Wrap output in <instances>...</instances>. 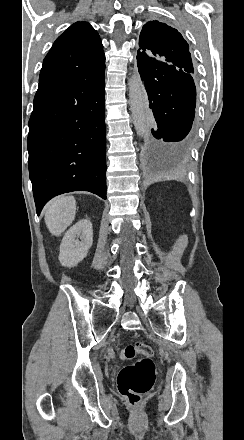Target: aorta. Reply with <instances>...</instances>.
<instances>
[{
  "mask_svg": "<svg viewBox=\"0 0 244 440\" xmlns=\"http://www.w3.org/2000/svg\"><path fill=\"white\" fill-rule=\"evenodd\" d=\"M129 99L133 124L137 134L141 137L146 133V95L138 74L129 79Z\"/></svg>",
  "mask_w": 244,
  "mask_h": 440,
  "instance_id": "aorta-1",
  "label": "aorta"
}]
</instances>
